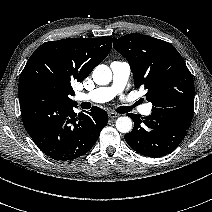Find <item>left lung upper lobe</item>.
Instances as JSON below:
<instances>
[{
  "label": "left lung upper lobe",
  "mask_w": 212,
  "mask_h": 212,
  "mask_svg": "<svg viewBox=\"0 0 212 212\" xmlns=\"http://www.w3.org/2000/svg\"><path fill=\"white\" fill-rule=\"evenodd\" d=\"M113 47L129 62L134 85L148 90L153 108L194 107L192 75L170 43L132 33L113 38Z\"/></svg>",
  "instance_id": "1"
}]
</instances>
